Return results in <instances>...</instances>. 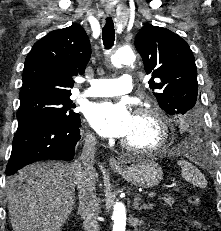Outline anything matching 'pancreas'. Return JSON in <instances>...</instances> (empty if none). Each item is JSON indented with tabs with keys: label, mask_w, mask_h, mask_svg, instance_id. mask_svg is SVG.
I'll return each mask as SVG.
<instances>
[{
	"label": "pancreas",
	"mask_w": 221,
	"mask_h": 231,
	"mask_svg": "<svg viewBox=\"0 0 221 231\" xmlns=\"http://www.w3.org/2000/svg\"><path fill=\"white\" fill-rule=\"evenodd\" d=\"M166 204H173L174 203V198L167 195L161 198Z\"/></svg>",
	"instance_id": "pancreas-1"
}]
</instances>
